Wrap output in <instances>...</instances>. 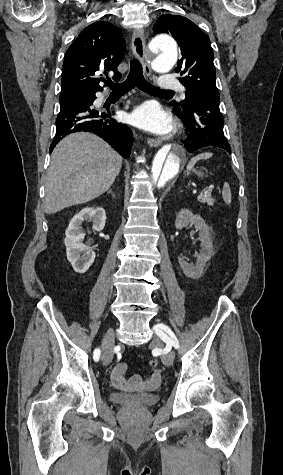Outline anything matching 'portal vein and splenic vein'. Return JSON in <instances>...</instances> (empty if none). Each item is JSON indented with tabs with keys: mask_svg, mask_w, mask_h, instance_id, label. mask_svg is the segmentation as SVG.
<instances>
[{
	"mask_svg": "<svg viewBox=\"0 0 283 475\" xmlns=\"http://www.w3.org/2000/svg\"><path fill=\"white\" fill-rule=\"evenodd\" d=\"M199 197H202V194H199Z\"/></svg>",
	"mask_w": 283,
	"mask_h": 475,
	"instance_id": "1",
	"label": "portal vein and splenic vein"
}]
</instances>
